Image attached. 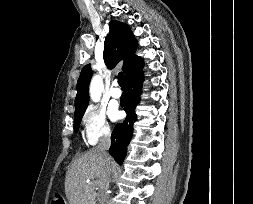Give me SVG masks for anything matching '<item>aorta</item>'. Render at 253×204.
Here are the masks:
<instances>
[{
    "instance_id": "762f6f07",
    "label": "aorta",
    "mask_w": 253,
    "mask_h": 204,
    "mask_svg": "<svg viewBox=\"0 0 253 204\" xmlns=\"http://www.w3.org/2000/svg\"><path fill=\"white\" fill-rule=\"evenodd\" d=\"M104 85L101 77L99 75H95L90 84V96L91 99L95 102L100 100L101 93L103 91Z\"/></svg>"
}]
</instances>
